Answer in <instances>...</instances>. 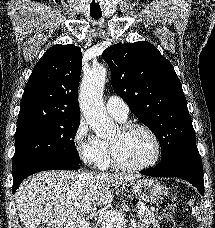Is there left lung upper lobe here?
<instances>
[{"instance_id":"left-lung-upper-lobe-1","label":"left lung upper lobe","mask_w":215,"mask_h":228,"mask_svg":"<svg viewBox=\"0 0 215 228\" xmlns=\"http://www.w3.org/2000/svg\"><path fill=\"white\" fill-rule=\"evenodd\" d=\"M112 86L158 138L161 161L196 144L180 80L169 60L149 42L118 43L103 52Z\"/></svg>"}]
</instances>
